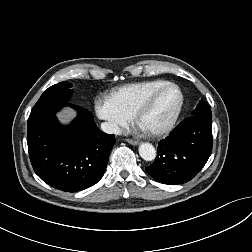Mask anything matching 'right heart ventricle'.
<instances>
[{
  "instance_id": "e07e8e85",
  "label": "right heart ventricle",
  "mask_w": 252,
  "mask_h": 252,
  "mask_svg": "<svg viewBox=\"0 0 252 252\" xmlns=\"http://www.w3.org/2000/svg\"><path fill=\"white\" fill-rule=\"evenodd\" d=\"M165 79H152L142 82L125 84L114 89L111 98L127 113L134 115L138 106L157 87L167 83Z\"/></svg>"
}]
</instances>
